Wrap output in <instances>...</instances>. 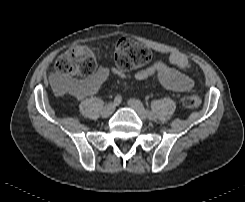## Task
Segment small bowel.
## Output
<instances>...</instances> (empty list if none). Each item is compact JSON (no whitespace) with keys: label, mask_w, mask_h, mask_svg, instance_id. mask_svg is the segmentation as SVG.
<instances>
[{"label":"small bowel","mask_w":245,"mask_h":202,"mask_svg":"<svg viewBox=\"0 0 245 202\" xmlns=\"http://www.w3.org/2000/svg\"><path fill=\"white\" fill-rule=\"evenodd\" d=\"M187 67V60L177 51L169 54V63L161 59H156L149 66L135 71H124L117 66H113L110 69L100 67L86 81L76 83V90L70 92L69 95L72 99H77L80 96L99 91L111 73L134 80L156 78L166 89L183 93L190 90L193 86V79L178 70V68L185 69Z\"/></svg>","instance_id":"1"}]
</instances>
